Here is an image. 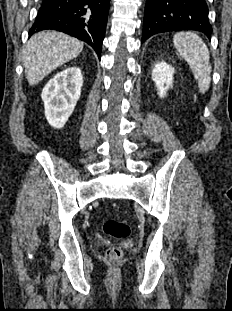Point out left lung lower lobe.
<instances>
[{
    "label": "left lung lower lobe",
    "mask_w": 232,
    "mask_h": 311,
    "mask_svg": "<svg viewBox=\"0 0 232 311\" xmlns=\"http://www.w3.org/2000/svg\"><path fill=\"white\" fill-rule=\"evenodd\" d=\"M196 30L211 37L205 0H147L141 42L154 34Z\"/></svg>",
    "instance_id": "obj_1"
}]
</instances>
